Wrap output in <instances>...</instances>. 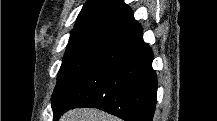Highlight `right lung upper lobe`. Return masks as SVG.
<instances>
[{"label":"right lung upper lobe","mask_w":217,"mask_h":121,"mask_svg":"<svg viewBox=\"0 0 217 121\" xmlns=\"http://www.w3.org/2000/svg\"><path fill=\"white\" fill-rule=\"evenodd\" d=\"M133 20L132 10L122 0H88L79 13L74 28L102 21L128 24Z\"/></svg>","instance_id":"right-lung-upper-lobe-1"}]
</instances>
